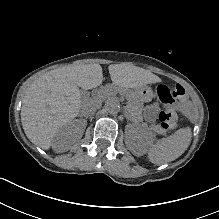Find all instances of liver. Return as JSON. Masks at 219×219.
<instances>
[{"mask_svg":"<svg viewBox=\"0 0 219 219\" xmlns=\"http://www.w3.org/2000/svg\"><path fill=\"white\" fill-rule=\"evenodd\" d=\"M113 85L137 88L151 82L149 71L130 65H111ZM100 64L65 66L38 77L27 89L21 107V122L26 136L42 149L51 145L55 132L65 127L90 106V113L101 106L99 96H83L79 87L89 90L102 84Z\"/></svg>","mask_w":219,"mask_h":219,"instance_id":"obj_1","label":"liver"}]
</instances>
